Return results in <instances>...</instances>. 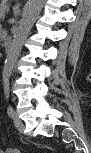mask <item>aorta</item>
I'll list each match as a JSON object with an SVG mask.
<instances>
[{"mask_svg":"<svg viewBox=\"0 0 91 153\" xmlns=\"http://www.w3.org/2000/svg\"><path fill=\"white\" fill-rule=\"evenodd\" d=\"M44 0H28L25 6L23 17L15 34L10 50L7 54L5 64L3 67L2 79L4 85L9 84V78L11 76L13 67L21 52L24 41L34 24L36 18L39 16Z\"/></svg>","mask_w":91,"mask_h":153,"instance_id":"1","label":"aorta"}]
</instances>
